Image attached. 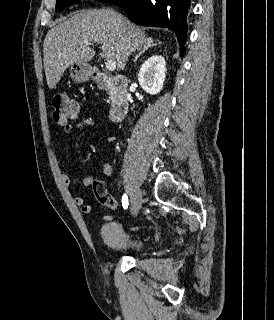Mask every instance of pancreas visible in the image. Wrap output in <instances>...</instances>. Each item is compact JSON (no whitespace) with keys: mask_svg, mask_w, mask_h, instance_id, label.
<instances>
[{"mask_svg":"<svg viewBox=\"0 0 274 320\" xmlns=\"http://www.w3.org/2000/svg\"><path fill=\"white\" fill-rule=\"evenodd\" d=\"M115 88H111V90H108V96L111 100L112 96H114Z\"/></svg>","mask_w":274,"mask_h":320,"instance_id":"cf45deb5","label":"pancreas"}]
</instances>
